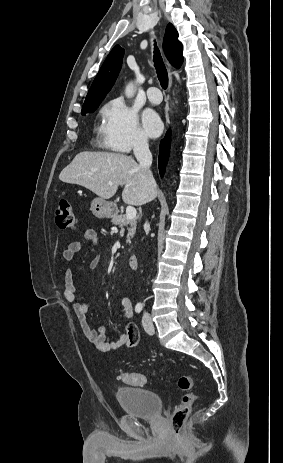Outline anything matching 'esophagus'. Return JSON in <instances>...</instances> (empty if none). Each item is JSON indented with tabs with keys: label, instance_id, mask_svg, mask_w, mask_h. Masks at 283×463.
I'll return each instance as SVG.
<instances>
[{
	"label": "esophagus",
	"instance_id": "34e87169",
	"mask_svg": "<svg viewBox=\"0 0 283 463\" xmlns=\"http://www.w3.org/2000/svg\"><path fill=\"white\" fill-rule=\"evenodd\" d=\"M167 65H168V69H169V88H171L172 83H173V76H172V73H171V65L169 64V62H167Z\"/></svg>",
	"mask_w": 283,
	"mask_h": 463
}]
</instances>
